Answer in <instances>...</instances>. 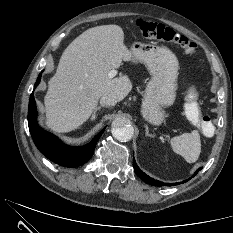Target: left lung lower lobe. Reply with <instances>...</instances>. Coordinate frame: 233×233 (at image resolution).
Masks as SVG:
<instances>
[{"instance_id": "0a47b994", "label": "left lung lower lobe", "mask_w": 233, "mask_h": 233, "mask_svg": "<svg viewBox=\"0 0 233 233\" xmlns=\"http://www.w3.org/2000/svg\"><path fill=\"white\" fill-rule=\"evenodd\" d=\"M199 170H201V168L198 169V170L195 172L194 176L198 173ZM134 171H135V173H136L142 180H144L146 183H148V184H150V185H154V186H162V185H165L164 183H159V181H156V180L150 178V177L147 176L144 172H142V171L139 169V167L137 166L135 160H134ZM192 177H193V176H192ZM187 181H188V180H185V181H183L182 183L187 182ZM178 184H180V183H173V184L169 183L168 185H178Z\"/></svg>"}]
</instances>
